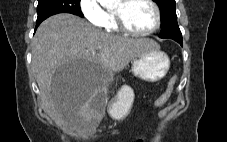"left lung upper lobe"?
<instances>
[{
    "instance_id": "obj_1",
    "label": "left lung upper lobe",
    "mask_w": 227,
    "mask_h": 142,
    "mask_svg": "<svg viewBox=\"0 0 227 142\" xmlns=\"http://www.w3.org/2000/svg\"><path fill=\"white\" fill-rule=\"evenodd\" d=\"M155 2L161 12V32L159 37L182 41V34L177 23L175 0H155Z\"/></svg>"
}]
</instances>
